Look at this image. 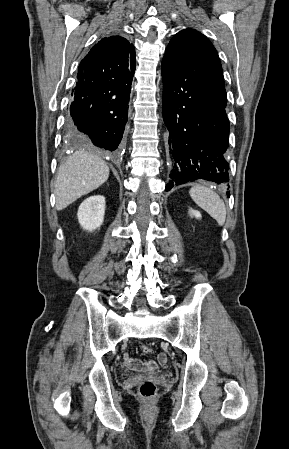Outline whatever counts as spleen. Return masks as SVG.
I'll use <instances>...</instances> for the list:
<instances>
[{
    "label": "spleen",
    "instance_id": "obj_1",
    "mask_svg": "<svg viewBox=\"0 0 289 449\" xmlns=\"http://www.w3.org/2000/svg\"><path fill=\"white\" fill-rule=\"evenodd\" d=\"M189 194L193 201L215 219L220 226L224 225L226 207L216 192L202 185H194Z\"/></svg>",
    "mask_w": 289,
    "mask_h": 449
}]
</instances>
